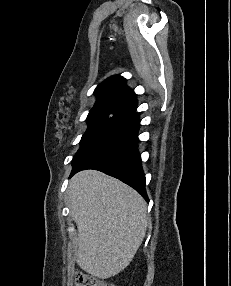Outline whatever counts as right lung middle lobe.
Masks as SVG:
<instances>
[{
    "instance_id": "1",
    "label": "right lung middle lobe",
    "mask_w": 231,
    "mask_h": 286,
    "mask_svg": "<svg viewBox=\"0 0 231 286\" xmlns=\"http://www.w3.org/2000/svg\"><path fill=\"white\" fill-rule=\"evenodd\" d=\"M136 116L137 114L134 110L119 106H94L86 120L89 127L82 136L80 141L81 147L74 156L72 163L78 161L118 127L133 120Z\"/></svg>"
}]
</instances>
